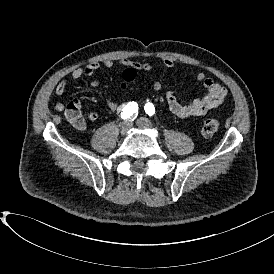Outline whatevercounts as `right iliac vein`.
<instances>
[{"label": "right iliac vein", "instance_id": "1", "mask_svg": "<svg viewBox=\"0 0 274 274\" xmlns=\"http://www.w3.org/2000/svg\"><path fill=\"white\" fill-rule=\"evenodd\" d=\"M132 124L129 121L122 122L119 127H120V133L122 135L127 134V132L130 130Z\"/></svg>", "mask_w": 274, "mask_h": 274}]
</instances>
